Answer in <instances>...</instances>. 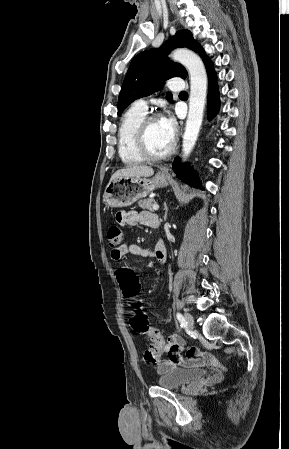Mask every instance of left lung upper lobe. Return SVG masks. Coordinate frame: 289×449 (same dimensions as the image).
<instances>
[{
	"mask_svg": "<svg viewBox=\"0 0 289 449\" xmlns=\"http://www.w3.org/2000/svg\"><path fill=\"white\" fill-rule=\"evenodd\" d=\"M178 47H187L202 57L205 52L188 30L178 31L158 49H151L136 55L129 66L118 98V114L134 100L157 91L163 82L172 77L186 78L187 71L179 63L170 61L169 52ZM166 99L172 101L168 92Z\"/></svg>",
	"mask_w": 289,
	"mask_h": 449,
	"instance_id": "obj_1",
	"label": "left lung upper lobe"
}]
</instances>
